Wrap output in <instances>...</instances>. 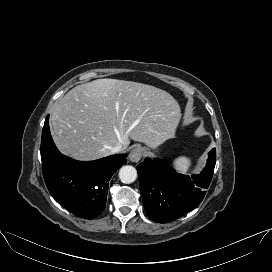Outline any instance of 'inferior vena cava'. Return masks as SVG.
Returning a JSON list of instances; mask_svg holds the SVG:
<instances>
[{
	"instance_id": "1",
	"label": "inferior vena cava",
	"mask_w": 272,
	"mask_h": 272,
	"mask_svg": "<svg viewBox=\"0 0 272 272\" xmlns=\"http://www.w3.org/2000/svg\"><path fill=\"white\" fill-rule=\"evenodd\" d=\"M121 149H122V146L120 144L109 147L110 152L113 154L120 152Z\"/></svg>"
}]
</instances>
